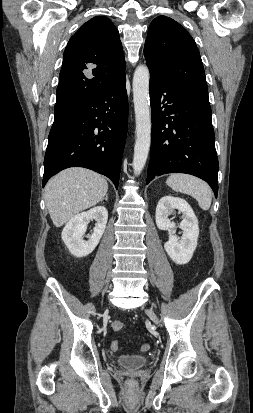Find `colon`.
<instances>
[{"label": "colon", "instance_id": "colon-1", "mask_svg": "<svg viewBox=\"0 0 253 413\" xmlns=\"http://www.w3.org/2000/svg\"><path fill=\"white\" fill-rule=\"evenodd\" d=\"M111 327L115 332H120V331L123 330L124 324L119 320H115V321L112 322ZM111 347H112L113 350H118L119 349V343L117 341H114V342H112ZM141 350L143 352L149 351L150 350V345L149 344H143L141 346ZM129 384L132 385L133 382L129 381Z\"/></svg>", "mask_w": 253, "mask_h": 413}]
</instances>
